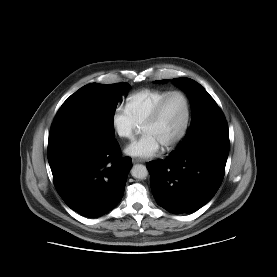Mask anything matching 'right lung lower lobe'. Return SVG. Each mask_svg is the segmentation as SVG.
Segmentation results:
<instances>
[{
    "label": "right lung lower lobe",
    "instance_id": "obj_1",
    "mask_svg": "<svg viewBox=\"0 0 277 277\" xmlns=\"http://www.w3.org/2000/svg\"><path fill=\"white\" fill-rule=\"evenodd\" d=\"M48 161L64 202L92 218L104 215L121 200L132 166L131 158L121 157L114 138L71 120L53 122Z\"/></svg>",
    "mask_w": 277,
    "mask_h": 277
}]
</instances>
